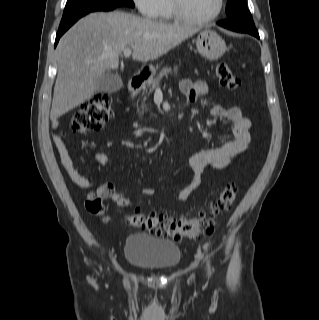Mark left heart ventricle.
Wrapping results in <instances>:
<instances>
[{"instance_id":"1","label":"left heart ventricle","mask_w":319,"mask_h":320,"mask_svg":"<svg viewBox=\"0 0 319 320\" xmlns=\"http://www.w3.org/2000/svg\"><path fill=\"white\" fill-rule=\"evenodd\" d=\"M186 14L193 18H206L217 9L218 0H180Z\"/></svg>"}]
</instances>
